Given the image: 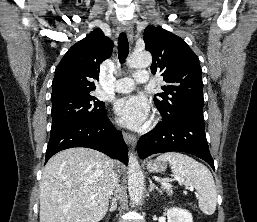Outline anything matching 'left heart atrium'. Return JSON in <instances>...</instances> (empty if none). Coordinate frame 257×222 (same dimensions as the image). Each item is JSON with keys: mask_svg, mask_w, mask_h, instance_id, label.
Wrapping results in <instances>:
<instances>
[{"mask_svg": "<svg viewBox=\"0 0 257 222\" xmlns=\"http://www.w3.org/2000/svg\"><path fill=\"white\" fill-rule=\"evenodd\" d=\"M115 112L121 124L130 129L142 128L148 120L147 100L140 95H128L115 104Z\"/></svg>", "mask_w": 257, "mask_h": 222, "instance_id": "left-heart-atrium-1", "label": "left heart atrium"}]
</instances>
